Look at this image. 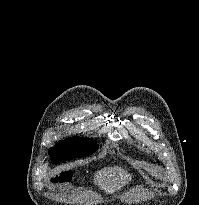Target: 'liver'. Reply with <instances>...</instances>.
I'll return each mask as SVG.
<instances>
[{
  "label": "liver",
  "mask_w": 199,
  "mask_h": 205,
  "mask_svg": "<svg viewBox=\"0 0 199 205\" xmlns=\"http://www.w3.org/2000/svg\"><path fill=\"white\" fill-rule=\"evenodd\" d=\"M131 175L121 167H108L100 170L95 175V183L107 193H113L117 189L128 184Z\"/></svg>",
  "instance_id": "6515ba94"
}]
</instances>
